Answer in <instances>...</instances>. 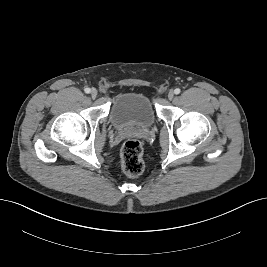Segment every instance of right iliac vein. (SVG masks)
<instances>
[{
  "label": "right iliac vein",
  "mask_w": 267,
  "mask_h": 267,
  "mask_svg": "<svg viewBox=\"0 0 267 267\" xmlns=\"http://www.w3.org/2000/svg\"><path fill=\"white\" fill-rule=\"evenodd\" d=\"M96 96H97V91L95 89H92L91 90V97L96 98Z\"/></svg>",
  "instance_id": "obj_1"
}]
</instances>
